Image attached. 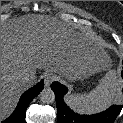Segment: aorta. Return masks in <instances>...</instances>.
Wrapping results in <instances>:
<instances>
[{"instance_id":"1","label":"aorta","mask_w":123,"mask_h":123,"mask_svg":"<svg viewBox=\"0 0 123 123\" xmlns=\"http://www.w3.org/2000/svg\"><path fill=\"white\" fill-rule=\"evenodd\" d=\"M40 100L44 104H50L55 101V94L52 89L45 88L40 92Z\"/></svg>"}]
</instances>
